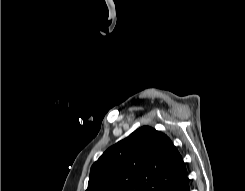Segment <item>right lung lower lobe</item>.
<instances>
[{
	"label": "right lung lower lobe",
	"mask_w": 245,
	"mask_h": 191,
	"mask_svg": "<svg viewBox=\"0 0 245 191\" xmlns=\"http://www.w3.org/2000/svg\"><path fill=\"white\" fill-rule=\"evenodd\" d=\"M164 191H190L187 175L178 182L167 187Z\"/></svg>",
	"instance_id": "1"
}]
</instances>
